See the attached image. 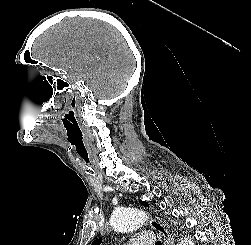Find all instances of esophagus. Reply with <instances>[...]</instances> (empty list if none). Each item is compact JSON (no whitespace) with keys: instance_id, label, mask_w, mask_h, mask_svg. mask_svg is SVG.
Masks as SVG:
<instances>
[{"instance_id":"34e87169","label":"esophagus","mask_w":251,"mask_h":245,"mask_svg":"<svg viewBox=\"0 0 251 245\" xmlns=\"http://www.w3.org/2000/svg\"><path fill=\"white\" fill-rule=\"evenodd\" d=\"M149 224L163 239V245H174V237L163 224L153 218L149 219Z\"/></svg>"}]
</instances>
